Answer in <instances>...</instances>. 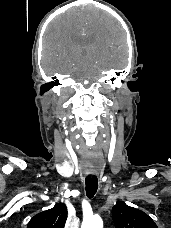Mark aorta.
I'll return each mask as SVG.
<instances>
[{
    "instance_id": "aorta-1",
    "label": "aorta",
    "mask_w": 171,
    "mask_h": 228,
    "mask_svg": "<svg viewBox=\"0 0 171 228\" xmlns=\"http://www.w3.org/2000/svg\"><path fill=\"white\" fill-rule=\"evenodd\" d=\"M81 228H103V221L99 216H92L83 220Z\"/></svg>"
}]
</instances>
